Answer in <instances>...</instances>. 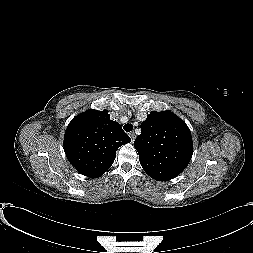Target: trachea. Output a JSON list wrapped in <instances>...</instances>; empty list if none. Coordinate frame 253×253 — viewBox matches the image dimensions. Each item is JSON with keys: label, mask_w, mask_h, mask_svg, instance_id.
<instances>
[{"label": "trachea", "mask_w": 253, "mask_h": 253, "mask_svg": "<svg viewBox=\"0 0 253 253\" xmlns=\"http://www.w3.org/2000/svg\"><path fill=\"white\" fill-rule=\"evenodd\" d=\"M123 129H124L126 132H130V131H132V129H133V125L130 124V123L125 124V125L123 126Z\"/></svg>", "instance_id": "trachea-1"}]
</instances>
